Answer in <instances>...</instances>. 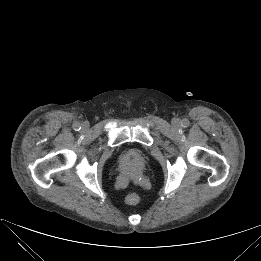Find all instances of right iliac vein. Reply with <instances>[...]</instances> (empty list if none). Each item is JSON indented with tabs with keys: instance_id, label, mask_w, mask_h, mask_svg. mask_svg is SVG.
Instances as JSON below:
<instances>
[{
	"instance_id": "1",
	"label": "right iliac vein",
	"mask_w": 261,
	"mask_h": 261,
	"mask_svg": "<svg viewBox=\"0 0 261 261\" xmlns=\"http://www.w3.org/2000/svg\"><path fill=\"white\" fill-rule=\"evenodd\" d=\"M83 128H85V129H86V128H87V125H86V124H84V125H83Z\"/></svg>"
}]
</instances>
